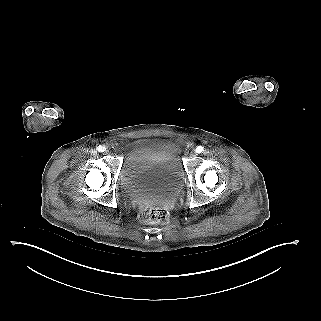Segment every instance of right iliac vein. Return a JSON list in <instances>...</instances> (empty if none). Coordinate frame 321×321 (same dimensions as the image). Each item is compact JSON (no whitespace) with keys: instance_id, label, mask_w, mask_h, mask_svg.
Masks as SVG:
<instances>
[{"instance_id":"63e3f726","label":"right iliac vein","mask_w":321,"mask_h":321,"mask_svg":"<svg viewBox=\"0 0 321 321\" xmlns=\"http://www.w3.org/2000/svg\"><path fill=\"white\" fill-rule=\"evenodd\" d=\"M105 154H109V150L108 149L105 150Z\"/></svg>"}]
</instances>
